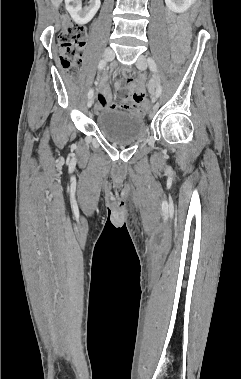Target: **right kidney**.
<instances>
[{
    "mask_svg": "<svg viewBox=\"0 0 241 379\" xmlns=\"http://www.w3.org/2000/svg\"><path fill=\"white\" fill-rule=\"evenodd\" d=\"M66 10L75 23L85 25L91 21L100 8V0H90L89 6L82 8V0H65Z\"/></svg>",
    "mask_w": 241,
    "mask_h": 379,
    "instance_id": "right-kidney-1",
    "label": "right kidney"
}]
</instances>
